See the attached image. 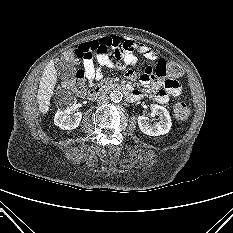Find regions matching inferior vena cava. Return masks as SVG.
<instances>
[{"instance_id": "obj_1", "label": "inferior vena cava", "mask_w": 233, "mask_h": 233, "mask_svg": "<svg viewBox=\"0 0 233 233\" xmlns=\"http://www.w3.org/2000/svg\"><path fill=\"white\" fill-rule=\"evenodd\" d=\"M108 100H109V96L106 95V94H104V93H101V94H99V95L97 96V101H98V102L106 103V102H108Z\"/></svg>"}]
</instances>
